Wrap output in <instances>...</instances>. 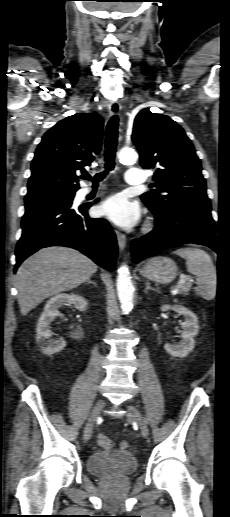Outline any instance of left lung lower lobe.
Instances as JSON below:
<instances>
[{"mask_svg":"<svg viewBox=\"0 0 230 517\" xmlns=\"http://www.w3.org/2000/svg\"><path fill=\"white\" fill-rule=\"evenodd\" d=\"M155 228L131 245L132 260L137 263L173 246L194 243L207 246L219 254L215 223L210 204H189L166 213H153Z\"/></svg>","mask_w":230,"mask_h":517,"instance_id":"obj_1","label":"left lung lower lobe"}]
</instances>
